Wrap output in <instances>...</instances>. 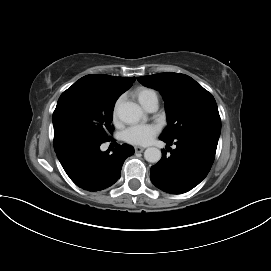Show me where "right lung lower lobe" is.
Segmentation results:
<instances>
[{"label": "right lung lower lobe", "mask_w": 271, "mask_h": 271, "mask_svg": "<svg viewBox=\"0 0 271 271\" xmlns=\"http://www.w3.org/2000/svg\"><path fill=\"white\" fill-rule=\"evenodd\" d=\"M103 142L76 146L57 154L67 175L84 190L98 191L113 185L120 178L125 159L134 154V148L129 145H117L111 155L109 151L101 152Z\"/></svg>", "instance_id": "1"}]
</instances>
